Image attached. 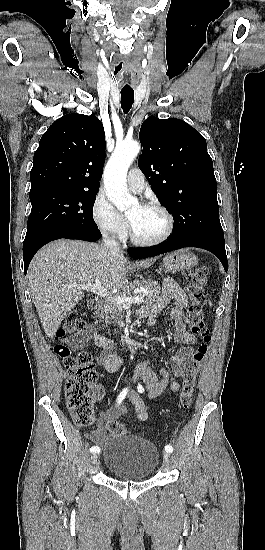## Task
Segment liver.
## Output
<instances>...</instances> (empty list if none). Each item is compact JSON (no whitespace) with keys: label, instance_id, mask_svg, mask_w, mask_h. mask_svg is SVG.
I'll return each mask as SVG.
<instances>
[{"label":"liver","instance_id":"obj_1","mask_svg":"<svg viewBox=\"0 0 265 550\" xmlns=\"http://www.w3.org/2000/svg\"><path fill=\"white\" fill-rule=\"evenodd\" d=\"M155 259L129 262L105 245L60 239L43 247L30 263L27 278L44 332L53 338L63 318L83 297L73 285L101 282L109 291L128 285V271L148 268Z\"/></svg>","mask_w":265,"mask_h":550}]
</instances>
